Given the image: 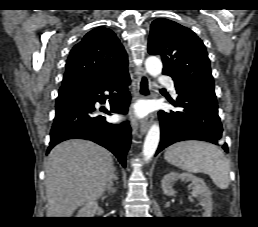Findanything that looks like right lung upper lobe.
<instances>
[{
  "mask_svg": "<svg viewBox=\"0 0 258 227\" xmlns=\"http://www.w3.org/2000/svg\"><path fill=\"white\" fill-rule=\"evenodd\" d=\"M127 65V54L114 32L98 27L71 50L62 86L84 79H109L127 70Z\"/></svg>",
  "mask_w": 258,
  "mask_h": 227,
  "instance_id": "1",
  "label": "right lung upper lobe"
}]
</instances>
